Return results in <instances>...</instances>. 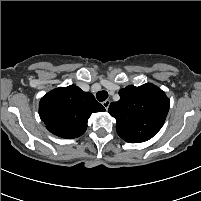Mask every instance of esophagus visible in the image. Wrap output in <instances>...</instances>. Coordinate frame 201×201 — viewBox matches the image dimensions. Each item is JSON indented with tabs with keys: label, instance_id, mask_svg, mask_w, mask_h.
Masks as SVG:
<instances>
[{
	"label": "esophagus",
	"instance_id": "1",
	"mask_svg": "<svg viewBox=\"0 0 201 201\" xmlns=\"http://www.w3.org/2000/svg\"><path fill=\"white\" fill-rule=\"evenodd\" d=\"M102 105L104 106V108H105L106 110H108V108H109V106H110V100H105V101L102 103Z\"/></svg>",
	"mask_w": 201,
	"mask_h": 201
}]
</instances>
